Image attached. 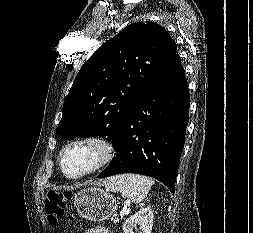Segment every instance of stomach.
Listing matches in <instances>:
<instances>
[{"instance_id":"stomach-1","label":"stomach","mask_w":253,"mask_h":233,"mask_svg":"<svg viewBox=\"0 0 253 233\" xmlns=\"http://www.w3.org/2000/svg\"><path fill=\"white\" fill-rule=\"evenodd\" d=\"M78 214L90 221L108 219L118 208L116 198L100 187H87L74 196Z\"/></svg>"}]
</instances>
